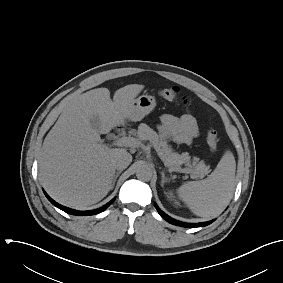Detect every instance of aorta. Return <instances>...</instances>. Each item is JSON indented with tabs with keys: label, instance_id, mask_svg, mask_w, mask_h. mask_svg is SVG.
<instances>
[{
	"label": "aorta",
	"instance_id": "1",
	"mask_svg": "<svg viewBox=\"0 0 283 283\" xmlns=\"http://www.w3.org/2000/svg\"><path fill=\"white\" fill-rule=\"evenodd\" d=\"M152 169L146 164L140 165L136 170V176L142 181H149L152 178Z\"/></svg>",
	"mask_w": 283,
	"mask_h": 283
}]
</instances>
